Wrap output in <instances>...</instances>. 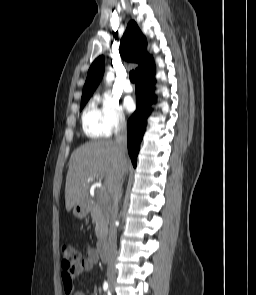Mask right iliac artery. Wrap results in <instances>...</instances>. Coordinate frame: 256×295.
<instances>
[{
  "label": "right iliac artery",
  "mask_w": 256,
  "mask_h": 295,
  "mask_svg": "<svg viewBox=\"0 0 256 295\" xmlns=\"http://www.w3.org/2000/svg\"><path fill=\"white\" fill-rule=\"evenodd\" d=\"M108 288H109L108 283L105 281L104 284H103L104 291H107Z\"/></svg>",
  "instance_id": "obj_1"
}]
</instances>
